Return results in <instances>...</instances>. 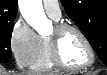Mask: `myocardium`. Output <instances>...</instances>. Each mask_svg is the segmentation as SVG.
<instances>
[{
  "label": "myocardium",
  "instance_id": "myocardium-1",
  "mask_svg": "<svg viewBox=\"0 0 107 75\" xmlns=\"http://www.w3.org/2000/svg\"><path fill=\"white\" fill-rule=\"evenodd\" d=\"M66 31H74L85 44L89 53V60L87 63L80 66H72L67 64L62 58L60 50V38L61 35ZM48 39L50 45L51 60L57 68L67 71H83L90 68L94 64L96 57L93 45L91 44L85 33L76 25L70 23H59L54 28V34Z\"/></svg>",
  "mask_w": 107,
  "mask_h": 75
}]
</instances>
